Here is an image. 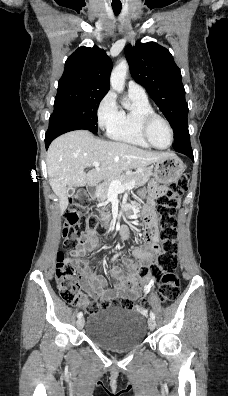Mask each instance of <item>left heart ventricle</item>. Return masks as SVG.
Segmentation results:
<instances>
[{"label": "left heart ventricle", "instance_id": "left-heart-ventricle-1", "mask_svg": "<svg viewBox=\"0 0 228 396\" xmlns=\"http://www.w3.org/2000/svg\"><path fill=\"white\" fill-rule=\"evenodd\" d=\"M152 142L161 148L166 147L170 142V133L165 123L159 119L152 122L149 130Z\"/></svg>", "mask_w": 228, "mask_h": 396}]
</instances>
